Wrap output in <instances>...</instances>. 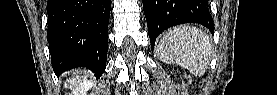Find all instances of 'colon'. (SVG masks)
<instances>
[{"mask_svg": "<svg viewBox=\"0 0 277 95\" xmlns=\"http://www.w3.org/2000/svg\"><path fill=\"white\" fill-rule=\"evenodd\" d=\"M191 81H192V78H191L190 75H185V76H184L183 82H184L186 85L190 84Z\"/></svg>", "mask_w": 277, "mask_h": 95, "instance_id": "5ec220e1", "label": "colon"}]
</instances>
